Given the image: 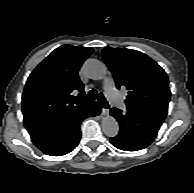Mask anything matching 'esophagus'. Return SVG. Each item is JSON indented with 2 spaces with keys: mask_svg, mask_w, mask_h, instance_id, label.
<instances>
[{
  "mask_svg": "<svg viewBox=\"0 0 194 193\" xmlns=\"http://www.w3.org/2000/svg\"><path fill=\"white\" fill-rule=\"evenodd\" d=\"M109 114V110L106 108H102V115L107 116Z\"/></svg>",
  "mask_w": 194,
  "mask_h": 193,
  "instance_id": "esophagus-1",
  "label": "esophagus"
}]
</instances>
